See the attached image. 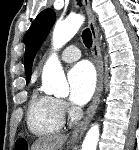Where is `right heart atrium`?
Returning <instances> with one entry per match:
<instances>
[{
  "label": "right heart atrium",
  "mask_w": 139,
  "mask_h": 150,
  "mask_svg": "<svg viewBox=\"0 0 139 150\" xmlns=\"http://www.w3.org/2000/svg\"><path fill=\"white\" fill-rule=\"evenodd\" d=\"M60 105H61V107H62L63 110H67L68 109V107H67V105H66L65 102L60 101Z\"/></svg>",
  "instance_id": "right-heart-atrium-1"
}]
</instances>
